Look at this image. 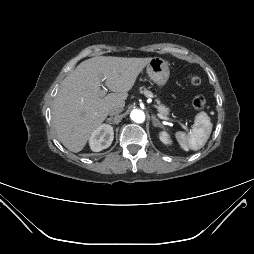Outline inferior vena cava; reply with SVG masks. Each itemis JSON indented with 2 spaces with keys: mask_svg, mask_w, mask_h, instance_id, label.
<instances>
[{
  "mask_svg": "<svg viewBox=\"0 0 254 254\" xmlns=\"http://www.w3.org/2000/svg\"><path fill=\"white\" fill-rule=\"evenodd\" d=\"M122 110H123V107H121V106H113L109 109L108 114L113 116V115L120 113Z\"/></svg>",
  "mask_w": 254,
  "mask_h": 254,
  "instance_id": "602c4592",
  "label": "inferior vena cava"
}]
</instances>
